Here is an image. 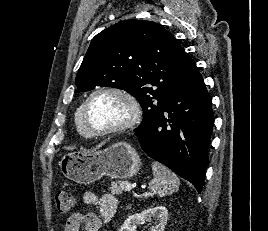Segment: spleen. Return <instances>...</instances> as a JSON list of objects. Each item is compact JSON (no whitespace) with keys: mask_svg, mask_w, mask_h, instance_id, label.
<instances>
[{"mask_svg":"<svg viewBox=\"0 0 268 231\" xmlns=\"http://www.w3.org/2000/svg\"><path fill=\"white\" fill-rule=\"evenodd\" d=\"M153 179L148 188L159 197L170 195L179 189L180 181L177 175L159 162H152Z\"/></svg>","mask_w":268,"mask_h":231,"instance_id":"3e777b00","label":"spleen"}]
</instances>
